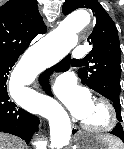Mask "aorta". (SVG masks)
I'll use <instances>...</instances> for the list:
<instances>
[{"label": "aorta", "mask_w": 124, "mask_h": 149, "mask_svg": "<svg viewBox=\"0 0 124 149\" xmlns=\"http://www.w3.org/2000/svg\"><path fill=\"white\" fill-rule=\"evenodd\" d=\"M90 21V14L86 10H78L68 15L56 29L47 34L25 56L15 69L12 81L18 80L21 85L24 84L25 76L32 71L31 64L47 50L66 55L76 46L78 42L77 33L89 25ZM44 116L49 120L50 125V148L63 149L69 143L72 132L68 114L57 101L48 98Z\"/></svg>", "instance_id": "aorta-1"}]
</instances>
